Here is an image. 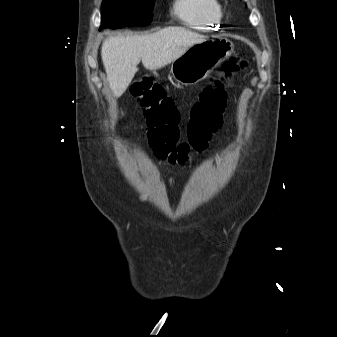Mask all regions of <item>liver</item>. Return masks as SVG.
I'll use <instances>...</instances> for the list:
<instances>
[{
	"label": "liver",
	"instance_id": "1",
	"mask_svg": "<svg viewBox=\"0 0 337 337\" xmlns=\"http://www.w3.org/2000/svg\"><path fill=\"white\" fill-rule=\"evenodd\" d=\"M204 40L203 35L181 27H167L146 35L109 37L102 44L101 57L114 96L120 97L126 91L140 61L148 70L161 69Z\"/></svg>",
	"mask_w": 337,
	"mask_h": 337
}]
</instances>
